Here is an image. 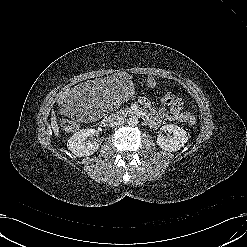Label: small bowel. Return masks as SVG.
<instances>
[{"mask_svg": "<svg viewBox=\"0 0 247 247\" xmlns=\"http://www.w3.org/2000/svg\"><path fill=\"white\" fill-rule=\"evenodd\" d=\"M148 84L150 86H154L156 84L155 79L153 77H150L148 79ZM142 104L147 108H149L151 106L150 102L146 99L142 100ZM182 105H183L182 101L179 99H176L173 96V99L171 100V104L168 106L169 109L162 108L160 110V114L168 120L178 121V122H186V119H187L188 115H190V113L183 112L182 111ZM146 122L151 127H157L160 124L159 119L153 114L146 116Z\"/></svg>", "mask_w": 247, "mask_h": 247, "instance_id": "obj_1", "label": "small bowel"}]
</instances>
